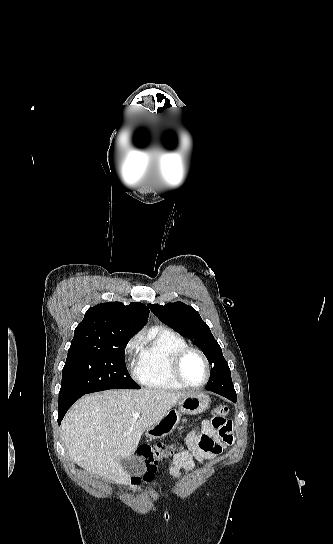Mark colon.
I'll return each instance as SVG.
<instances>
[{"label":"colon","instance_id":"obj_1","mask_svg":"<svg viewBox=\"0 0 333 544\" xmlns=\"http://www.w3.org/2000/svg\"><path fill=\"white\" fill-rule=\"evenodd\" d=\"M228 413L229 407L226 405H219L213 409V415L215 417H224ZM137 453L145 463L146 470L141 478H134L132 480L134 484L151 481L154 477L157 462L173 455L174 447L160 442L154 446L142 445L138 448Z\"/></svg>","mask_w":333,"mask_h":544}]
</instances>
